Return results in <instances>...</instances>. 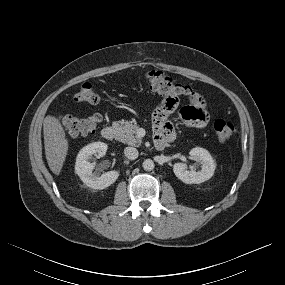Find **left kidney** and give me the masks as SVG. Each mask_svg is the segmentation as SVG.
I'll return each mask as SVG.
<instances>
[{
    "instance_id": "1",
    "label": "left kidney",
    "mask_w": 285,
    "mask_h": 285,
    "mask_svg": "<svg viewBox=\"0 0 285 285\" xmlns=\"http://www.w3.org/2000/svg\"><path fill=\"white\" fill-rule=\"evenodd\" d=\"M189 154L191 157L198 158L202 164L201 170L198 172L194 170L188 171L185 164L178 162L173 165L176 177L186 184H200L209 180L214 175L216 168L210 153L204 148L196 147L191 149Z\"/></svg>"
}]
</instances>
